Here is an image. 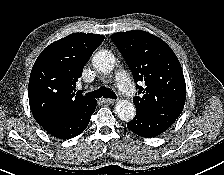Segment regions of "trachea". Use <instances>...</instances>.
<instances>
[{
	"instance_id": "3493384b",
	"label": "trachea",
	"mask_w": 224,
	"mask_h": 175,
	"mask_svg": "<svg viewBox=\"0 0 224 175\" xmlns=\"http://www.w3.org/2000/svg\"><path fill=\"white\" fill-rule=\"evenodd\" d=\"M86 95L93 98H101L103 96L105 98L116 99L117 97L116 94L112 90L107 89L105 87H100L98 90L89 92Z\"/></svg>"
}]
</instances>
